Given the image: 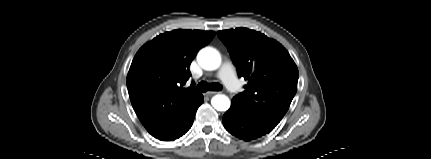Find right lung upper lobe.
Wrapping results in <instances>:
<instances>
[{
    "label": "right lung upper lobe",
    "instance_id": "right-lung-upper-lobe-1",
    "mask_svg": "<svg viewBox=\"0 0 431 159\" xmlns=\"http://www.w3.org/2000/svg\"><path fill=\"white\" fill-rule=\"evenodd\" d=\"M215 33L174 30L160 34L140 48L127 75L132 106L147 131L163 133L198 95L185 88L189 66Z\"/></svg>",
    "mask_w": 431,
    "mask_h": 159
}]
</instances>
